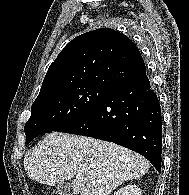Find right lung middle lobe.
Here are the masks:
<instances>
[{
  "instance_id": "1",
  "label": "right lung middle lobe",
  "mask_w": 189,
  "mask_h": 195,
  "mask_svg": "<svg viewBox=\"0 0 189 195\" xmlns=\"http://www.w3.org/2000/svg\"><path fill=\"white\" fill-rule=\"evenodd\" d=\"M109 92L104 88L74 87L37 97L24 128L26 143H30L38 135L58 131L74 122Z\"/></svg>"
}]
</instances>
